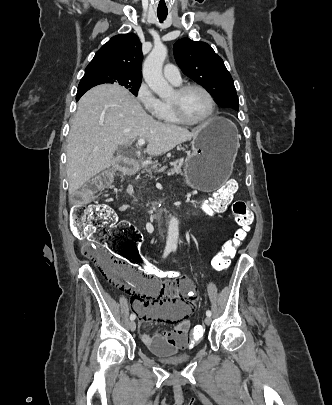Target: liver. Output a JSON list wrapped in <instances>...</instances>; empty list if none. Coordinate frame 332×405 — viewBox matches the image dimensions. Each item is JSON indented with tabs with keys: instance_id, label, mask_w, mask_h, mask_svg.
Listing matches in <instances>:
<instances>
[{
	"instance_id": "6515ba94",
	"label": "liver",
	"mask_w": 332,
	"mask_h": 405,
	"mask_svg": "<svg viewBox=\"0 0 332 405\" xmlns=\"http://www.w3.org/2000/svg\"><path fill=\"white\" fill-rule=\"evenodd\" d=\"M159 122L149 116L124 88L100 85L86 92L67 138L69 194H74L90 178L113 164V154L121 145L137 138L147 139L150 156L164 154L199 133Z\"/></svg>"
}]
</instances>
